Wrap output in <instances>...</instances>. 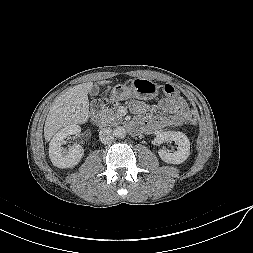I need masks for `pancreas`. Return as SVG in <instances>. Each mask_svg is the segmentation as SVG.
I'll list each match as a JSON object with an SVG mask.
<instances>
[{"label":"pancreas","instance_id":"cf45deb5","mask_svg":"<svg viewBox=\"0 0 253 253\" xmlns=\"http://www.w3.org/2000/svg\"><path fill=\"white\" fill-rule=\"evenodd\" d=\"M100 121L103 125L116 126L122 121L114 108L104 107L100 112Z\"/></svg>","mask_w":253,"mask_h":253}]
</instances>
